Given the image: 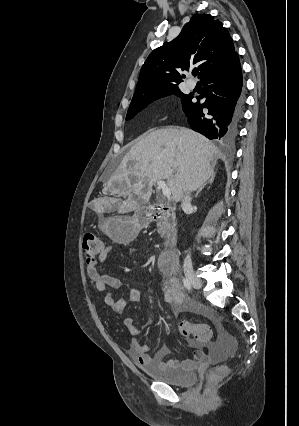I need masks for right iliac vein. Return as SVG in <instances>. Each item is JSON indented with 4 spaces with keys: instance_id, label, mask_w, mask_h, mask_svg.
<instances>
[{
    "instance_id": "obj_1",
    "label": "right iliac vein",
    "mask_w": 299,
    "mask_h": 426,
    "mask_svg": "<svg viewBox=\"0 0 299 426\" xmlns=\"http://www.w3.org/2000/svg\"><path fill=\"white\" fill-rule=\"evenodd\" d=\"M184 272H185V276L188 279V281L190 282V284L194 288L200 289L201 286H202V283H201V280L195 274L194 270L190 266H186L184 268Z\"/></svg>"
}]
</instances>
